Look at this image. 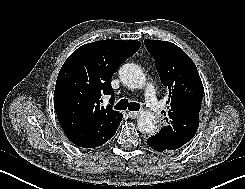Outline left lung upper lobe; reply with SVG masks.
I'll return each instance as SVG.
<instances>
[{
  "mask_svg": "<svg viewBox=\"0 0 245 189\" xmlns=\"http://www.w3.org/2000/svg\"><path fill=\"white\" fill-rule=\"evenodd\" d=\"M155 60L161 82L169 89L168 118L157 132L168 143L181 148L196 134L204 88L194 62L171 42L144 40Z\"/></svg>",
  "mask_w": 245,
  "mask_h": 189,
  "instance_id": "obj_1",
  "label": "left lung upper lobe"
}]
</instances>
